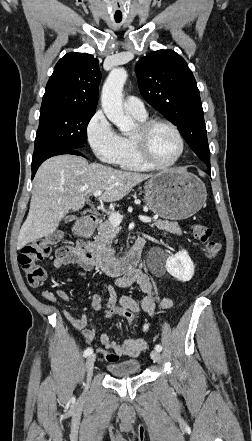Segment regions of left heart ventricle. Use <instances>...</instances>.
I'll return each mask as SVG.
<instances>
[{
    "label": "left heart ventricle",
    "instance_id": "obj_1",
    "mask_svg": "<svg viewBox=\"0 0 252 441\" xmlns=\"http://www.w3.org/2000/svg\"><path fill=\"white\" fill-rule=\"evenodd\" d=\"M138 129L134 134H136ZM148 148L155 162L167 163L179 152V142L173 131L166 126H157L148 137Z\"/></svg>",
    "mask_w": 252,
    "mask_h": 441
}]
</instances>
